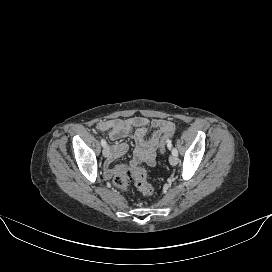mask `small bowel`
<instances>
[{
  "label": "small bowel",
  "mask_w": 272,
  "mask_h": 272,
  "mask_svg": "<svg viewBox=\"0 0 272 272\" xmlns=\"http://www.w3.org/2000/svg\"><path fill=\"white\" fill-rule=\"evenodd\" d=\"M97 129L102 132H107L111 140L122 138H132L134 147L133 165L146 163L153 166L156 163V150L159 146V141L163 134H166L174 129L172 122L153 118L131 117L128 119H112L101 121L97 124ZM150 131H153L150 134ZM128 149L126 143H119L112 146L111 159L118 158L125 154ZM121 169V167L110 168L107 165L108 174Z\"/></svg>",
  "instance_id": "1"
}]
</instances>
